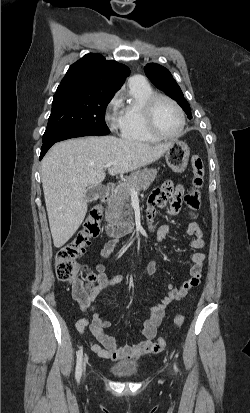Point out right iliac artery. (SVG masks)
<instances>
[{"label":"right iliac artery","instance_id":"1","mask_svg":"<svg viewBox=\"0 0 250 413\" xmlns=\"http://www.w3.org/2000/svg\"><path fill=\"white\" fill-rule=\"evenodd\" d=\"M82 356H83V350L82 348L78 350L77 352V363H76V371H75V378L77 381L80 380L81 374H82Z\"/></svg>","mask_w":250,"mask_h":413}]
</instances>
